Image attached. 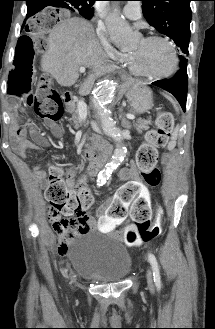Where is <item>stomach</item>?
I'll return each mask as SVG.
<instances>
[{
  "label": "stomach",
  "instance_id": "stomach-1",
  "mask_svg": "<svg viewBox=\"0 0 215 329\" xmlns=\"http://www.w3.org/2000/svg\"><path fill=\"white\" fill-rule=\"evenodd\" d=\"M126 95L133 113L142 114L153 107L152 91L140 83H128Z\"/></svg>",
  "mask_w": 215,
  "mask_h": 329
}]
</instances>
